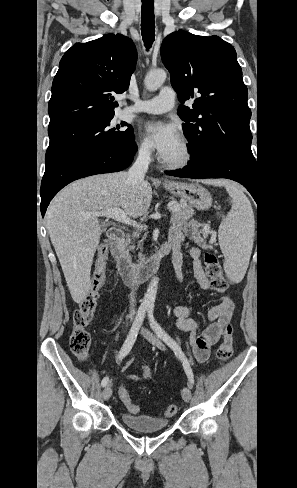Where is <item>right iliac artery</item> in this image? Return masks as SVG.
<instances>
[{
  "label": "right iliac artery",
  "instance_id": "1",
  "mask_svg": "<svg viewBox=\"0 0 297 488\" xmlns=\"http://www.w3.org/2000/svg\"><path fill=\"white\" fill-rule=\"evenodd\" d=\"M146 310H147V308L144 306H141L138 309L137 316H136V319L133 323V326L131 327L129 334L127 335V338H126V340H125V342H124V344H123V346L119 352L118 360H122L130 352L131 348L133 347V345L136 341L139 329H140V327L143 323V320L145 318ZM108 381H109L108 377H104L103 380L101 381V386L102 387L106 386Z\"/></svg>",
  "mask_w": 297,
  "mask_h": 488
}]
</instances>
